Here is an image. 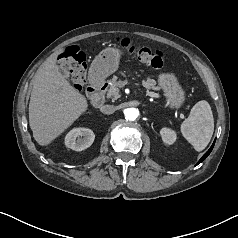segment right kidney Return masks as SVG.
I'll list each match as a JSON object with an SVG mask.
<instances>
[{"label": "right kidney", "mask_w": 238, "mask_h": 238, "mask_svg": "<svg viewBox=\"0 0 238 238\" xmlns=\"http://www.w3.org/2000/svg\"><path fill=\"white\" fill-rule=\"evenodd\" d=\"M94 139L95 134L91 129L75 128L65 136V145L74 151H82L90 147Z\"/></svg>", "instance_id": "1"}]
</instances>
